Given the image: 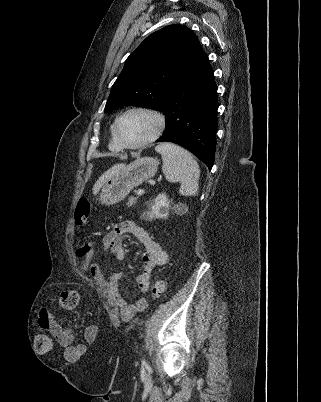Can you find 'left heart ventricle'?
Here are the masks:
<instances>
[{"label":"left heart ventricle","mask_w":321,"mask_h":402,"mask_svg":"<svg viewBox=\"0 0 321 402\" xmlns=\"http://www.w3.org/2000/svg\"><path fill=\"white\" fill-rule=\"evenodd\" d=\"M155 119L145 113L135 112L125 116L119 124V134L124 142L136 144L153 134Z\"/></svg>","instance_id":"left-heart-ventricle-1"}]
</instances>
